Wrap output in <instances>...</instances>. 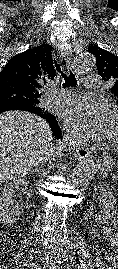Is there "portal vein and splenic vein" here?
<instances>
[{"label":"portal vein and splenic vein","mask_w":118,"mask_h":269,"mask_svg":"<svg viewBox=\"0 0 118 269\" xmlns=\"http://www.w3.org/2000/svg\"><path fill=\"white\" fill-rule=\"evenodd\" d=\"M113 178H118V176H113Z\"/></svg>","instance_id":"18ae733b"}]
</instances>
